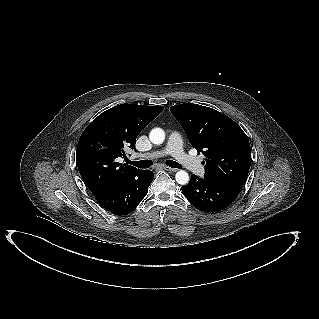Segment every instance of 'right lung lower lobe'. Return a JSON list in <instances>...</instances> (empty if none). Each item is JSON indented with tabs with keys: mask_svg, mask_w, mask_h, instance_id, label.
<instances>
[{
	"mask_svg": "<svg viewBox=\"0 0 319 319\" xmlns=\"http://www.w3.org/2000/svg\"><path fill=\"white\" fill-rule=\"evenodd\" d=\"M154 178L149 170H138L95 195L99 204L115 215L132 212L148 193Z\"/></svg>",
	"mask_w": 319,
	"mask_h": 319,
	"instance_id": "98d812e1",
	"label": "right lung lower lobe"
}]
</instances>
